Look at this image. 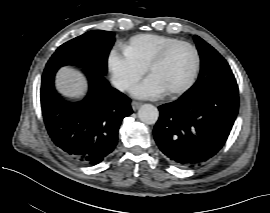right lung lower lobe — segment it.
I'll use <instances>...</instances> for the list:
<instances>
[{
	"mask_svg": "<svg viewBox=\"0 0 270 213\" xmlns=\"http://www.w3.org/2000/svg\"><path fill=\"white\" fill-rule=\"evenodd\" d=\"M57 70L45 69L42 75L41 107L48 134L72 160L96 165L116 147L121 122L133 112L130 99L111 88L104 75L86 70L87 96L67 102L54 89Z\"/></svg>",
	"mask_w": 270,
	"mask_h": 213,
	"instance_id": "right-lung-lower-lobe-1",
	"label": "right lung lower lobe"
}]
</instances>
